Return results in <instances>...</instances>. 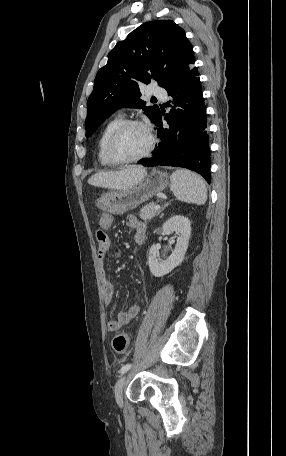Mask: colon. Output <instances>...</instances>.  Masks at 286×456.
<instances>
[{
	"mask_svg": "<svg viewBox=\"0 0 286 456\" xmlns=\"http://www.w3.org/2000/svg\"><path fill=\"white\" fill-rule=\"evenodd\" d=\"M128 344H129V339H128L127 334H125V333L115 336L112 341L113 350L118 354L124 353L128 348Z\"/></svg>",
	"mask_w": 286,
	"mask_h": 456,
	"instance_id": "5ec220e1",
	"label": "colon"
}]
</instances>
